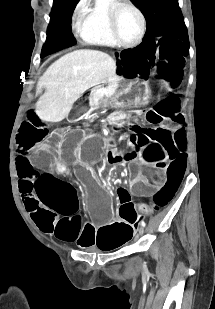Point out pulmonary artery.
Masks as SVG:
<instances>
[{"label":"pulmonary artery","mask_w":215,"mask_h":309,"mask_svg":"<svg viewBox=\"0 0 215 309\" xmlns=\"http://www.w3.org/2000/svg\"><path fill=\"white\" fill-rule=\"evenodd\" d=\"M110 7H111V2L109 0L93 1V8H99L96 10L97 16H102L103 11H105L106 8H110Z\"/></svg>","instance_id":"1"}]
</instances>
